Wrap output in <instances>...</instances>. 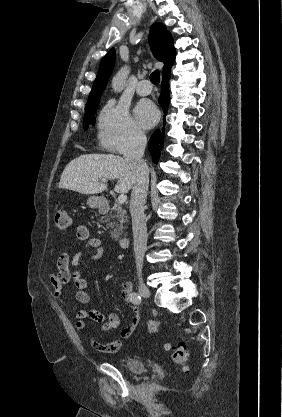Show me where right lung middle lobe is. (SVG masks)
Instances as JSON below:
<instances>
[{"label": "right lung middle lobe", "instance_id": "dd1d6c3e", "mask_svg": "<svg viewBox=\"0 0 282 417\" xmlns=\"http://www.w3.org/2000/svg\"><path fill=\"white\" fill-rule=\"evenodd\" d=\"M101 95L90 96L85 107V118H84V128H87L89 124L95 123V116L99 100Z\"/></svg>", "mask_w": 282, "mask_h": 417}]
</instances>
